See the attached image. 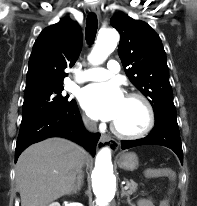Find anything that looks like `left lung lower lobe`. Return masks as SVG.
Listing matches in <instances>:
<instances>
[{"mask_svg":"<svg viewBox=\"0 0 197 206\" xmlns=\"http://www.w3.org/2000/svg\"><path fill=\"white\" fill-rule=\"evenodd\" d=\"M148 144L162 145L172 149L178 155L181 163L183 164L182 144L177 123L170 121L157 123L151 133L145 138L137 140H122L121 148L124 150Z\"/></svg>","mask_w":197,"mask_h":206,"instance_id":"0a47b994","label":"left lung lower lobe"}]
</instances>
